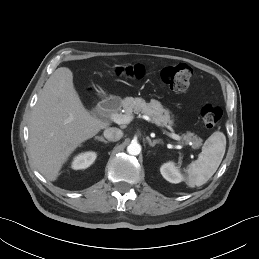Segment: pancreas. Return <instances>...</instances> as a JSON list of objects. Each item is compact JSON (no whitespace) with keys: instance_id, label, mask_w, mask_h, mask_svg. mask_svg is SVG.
<instances>
[{"instance_id":"pancreas-1","label":"pancreas","mask_w":259,"mask_h":259,"mask_svg":"<svg viewBox=\"0 0 259 259\" xmlns=\"http://www.w3.org/2000/svg\"><path fill=\"white\" fill-rule=\"evenodd\" d=\"M120 104L126 114L131 115L132 113L138 114L141 112L149 116L157 125H167L172 123L169 112L156 100H151L150 103H146L145 100L140 97H126L121 100ZM183 140L185 144L192 142L193 148H198L202 145V139L191 132L184 135Z\"/></svg>"}]
</instances>
